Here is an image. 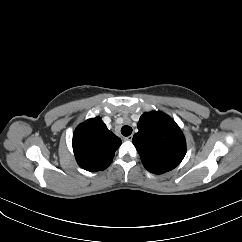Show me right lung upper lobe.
<instances>
[{
  "label": "right lung upper lobe",
  "mask_w": 242,
  "mask_h": 242,
  "mask_svg": "<svg viewBox=\"0 0 242 242\" xmlns=\"http://www.w3.org/2000/svg\"><path fill=\"white\" fill-rule=\"evenodd\" d=\"M120 145L121 139L107 129L100 117L86 120L73 134L75 158L80 167L90 172L106 169Z\"/></svg>",
  "instance_id": "obj_1"
}]
</instances>
